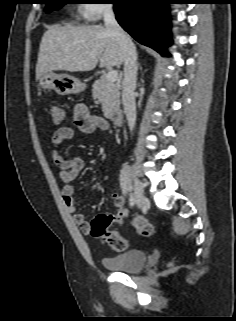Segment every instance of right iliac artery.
I'll return each mask as SVG.
<instances>
[{"instance_id":"82829eb1","label":"right iliac artery","mask_w":236,"mask_h":321,"mask_svg":"<svg viewBox=\"0 0 236 321\" xmlns=\"http://www.w3.org/2000/svg\"><path fill=\"white\" fill-rule=\"evenodd\" d=\"M129 202H130L131 206L135 205V199H134V197H133V195L131 193H130V197H129Z\"/></svg>"}]
</instances>
